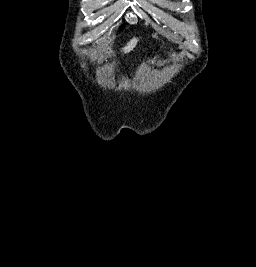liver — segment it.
<instances>
[{
	"mask_svg": "<svg viewBox=\"0 0 256 267\" xmlns=\"http://www.w3.org/2000/svg\"><path fill=\"white\" fill-rule=\"evenodd\" d=\"M137 42L138 38H132V40H130V42H128V44H126V46L122 48L123 52H125V54H128V52H132V50L136 48Z\"/></svg>",
	"mask_w": 256,
	"mask_h": 267,
	"instance_id": "obj_1",
	"label": "liver"
}]
</instances>
